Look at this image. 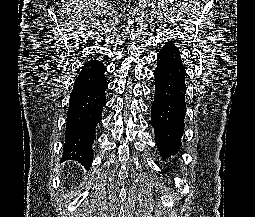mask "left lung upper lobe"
Wrapping results in <instances>:
<instances>
[{
    "label": "left lung upper lobe",
    "mask_w": 255,
    "mask_h": 217,
    "mask_svg": "<svg viewBox=\"0 0 255 217\" xmlns=\"http://www.w3.org/2000/svg\"><path fill=\"white\" fill-rule=\"evenodd\" d=\"M166 45L173 46V47L177 48L176 45L173 44L171 41H169L168 43H166ZM177 49H178V48H177Z\"/></svg>",
    "instance_id": "1"
}]
</instances>
